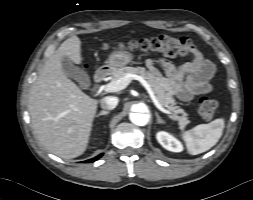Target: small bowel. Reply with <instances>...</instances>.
Wrapping results in <instances>:
<instances>
[{"label": "small bowel", "instance_id": "c3829d8e", "mask_svg": "<svg viewBox=\"0 0 253 200\" xmlns=\"http://www.w3.org/2000/svg\"><path fill=\"white\" fill-rule=\"evenodd\" d=\"M159 65L172 81L176 93L184 101L191 100L194 96L208 93L211 90L210 80L214 73L211 62L204 59L197 50L193 59L176 69L167 61L148 60L147 66L154 71Z\"/></svg>", "mask_w": 253, "mask_h": 200}]
</instances>
